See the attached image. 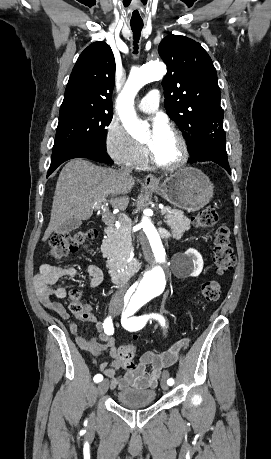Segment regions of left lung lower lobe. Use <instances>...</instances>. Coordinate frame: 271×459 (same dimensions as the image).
Wrapping results in <instances>:
<instances>
[{
  "label": "left lung lower lobe",
  "mask_w": 271,
  "mask_h": 459,
  "mask_svg": "<svg viewBox=\"0 0 271 459\" xmlns=\"http://www.w3.org/2000/svg\"><path fill=\"white\" fill-rule=\"evenodd\" d=\"M213 161L231 174L227 159L226 136L223 129V121L207 129L201 136V151L190 159V163Z\"/></svg>",
  "instance_id": "left-lung-lower-lobe-1"
}]
</instances>
